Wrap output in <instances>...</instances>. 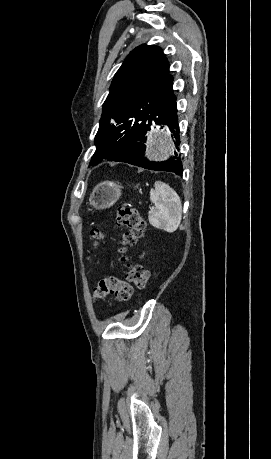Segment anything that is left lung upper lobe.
I'll return each instance as SVG.
<instances>
[{"label":"left lung upper lobe","mask_w":271,"mask_h":459,"mask_svg":"<svg viewBox=\"0 0 271 459\" xmlns=\"http://www.w3.org/2000/svg\"><path fill=\"white\" fill-rule=\"evenodd\" d=\"M168 72V60L157 46L140 45L126 57L103 104L91 166L99 164L109 154L110 138L118 128L151 108L154 92L163 85Z\"/></svg>","instance_id":"1"}]
</instances>
